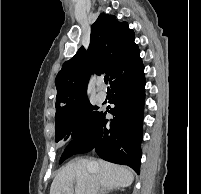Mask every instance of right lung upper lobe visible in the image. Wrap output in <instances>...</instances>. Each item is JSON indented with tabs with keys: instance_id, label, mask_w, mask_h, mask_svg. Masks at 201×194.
I'll return each mask as SVG.
<instances>
[{
	"instance_id": "1",
	"label": "right lung upper lobe",
	"mask_w": 201,
	"mask_h": 194,
	"mask_svg": "<svg viewBox=\"0 0 201 194\" xmlns=\"http://www.w3.org/2000/svg\"><path fill=\"white\" fill-rule=\"evenodd\" d=\"M139 48L134 43V32L126 22L115 16L101 13L91 27L88 50L81 47L66 61L58 73L55 119L65 117L88 101L86 86L90 74L106 73L110 84L127 73L140 59Z\"/></svg>"
}]
</instances>
